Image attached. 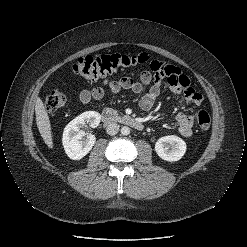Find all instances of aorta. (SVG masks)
I'll use <instances>...</instances> for the list:
<instances>
[{
  "mask_svg": "<svg viewBox=\"0 0 247 247\" xmlns=\"http://www.w3.org/2000/svg\"><path fill=\"white\" fill-rule=\"evenodd\" d=\"M121 134L124 136L129 135L130 134V128L128 126H123L121 128Z\"/></svg>",
  "mask_w": 247,
  "mask_h": 247,
  "instance_id": "obj_1",
  "label": "aorta"
}]
</instances>
